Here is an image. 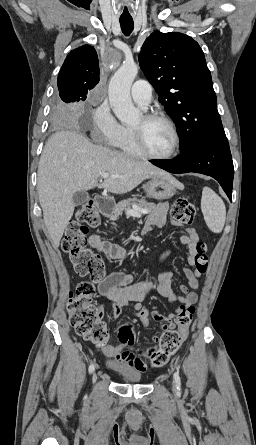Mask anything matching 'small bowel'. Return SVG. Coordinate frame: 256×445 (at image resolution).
Here are the masks:
<instances>
[{
	"instance_id": "1",
	"label": "small bowel",
	"mask_w": 256,
	"mask_h": 445,
	"mask_svg": "<svg viewBox=\"0 0 256 445\" xmlns=\"http://www.w3.org/2000/svg\"><path fill=\"white\" fill-rule=\"evenodd\" d=\"M168 208L169 205L167 202H160L154 212L149 216L145 229L148 230L153 227L165 225ZM180 242L188 247V263L193 265L198 244V234L196 230L192 227H185V234L180 237ZM88 243L91 248L108 255L112 259L127 261V256L123 249L116 244L102 240L97 234L91 235ZM170 253L171 250L168 248L160 254L159 261L162 264V270L156 283L151 281L132 283L133 278L130 274L124 271L107 269L106 277L98 284V291L101 295L106 296L113 302L112 313L115 319L121 315L124 308L130 307L139 317L143 325L149 324V317L151 316L154 320L162 322V329L166 331L174 328L176 324L175 319L182 309L196 303L198 297L193 290L199 287V278L202 272L197 269L185 268L186 282L179 285L181 294H177L172 288L173 273L164 266V262ZM150 294H157L170 303L177 304L175 312L164 316L142 306L140 301ZM187 335L188 328L185 329L184 338H186ZM159 341V337L156 336L153 338L154 344H157ZM100 349L105 356L115 358L110 364L111 367L125 368L129 371L142 373L147 368L144 359L151 354L154 347L151 346L143 351L132 352L127 350L125 345L103 344L100 346Z\"/></svg>"
}]
</instances>
